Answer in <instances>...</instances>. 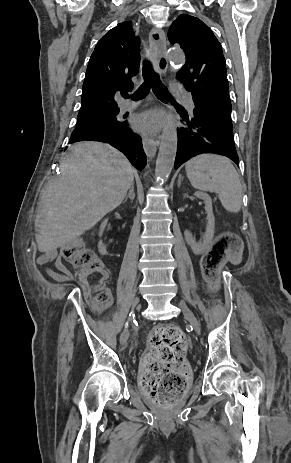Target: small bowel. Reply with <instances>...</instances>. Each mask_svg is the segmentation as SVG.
Wrapping results in <instances>:
<instances>
[{"label":"small bowel","instance_id":"small-bowel-1","mask_svg":"<svg viewBox=\"0 0 291 463\" xmlns=\"http://www.w3.org/2000/svg\"><path fill=\"white\" fill-rule=\"evenodd\" d=\"M48 260H53L55 268L57 269V271H54L52 269L47 270V274L53 280L58 281V282H66V281H70L73 279V274L67 268L61 256L57 255L56 252L52 249L45 250L44 255H42L38 259V263L43 264L47 262Z\"/></svg>","mask_w":291,"mask_h":463}]
</instances>
